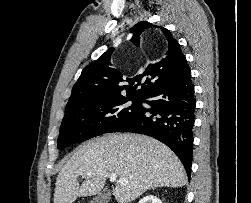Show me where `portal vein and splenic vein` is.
Returning <instances> with one entry per match:
<instances>
[{
    "mask_svg": "<svg viewBox=\"0 0 251 203\" xmlns=\"http://www.w3.org/2000/svg\"><path fill=\"white\" fill-rule=\"evenodd\" d=\"M109 178H110V181H111V182H115L116 179H117V175L114 174V173H112V174H110ZM118 182H119L120 184H124V183H126V180H125V179H119Z\"/></svg>",
    "mask_w": 251,
    "mask_h": 203,
    "instance_id": "18ae733b",
    "label": "portal vein and splenic vein"
}]
</instances>
